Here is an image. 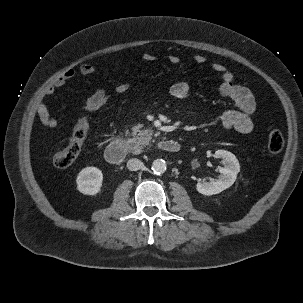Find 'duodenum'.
<instances>
[{
    "instance_id": "410a0bca",
    "label": "duodenum",
    "mask_w": 303,
    "mask_h": 303,
    "mask_svg": "<svg viewBox=\"0 0 303 303\" xmlns=\"http://www.w3.org/2000/svg\"><path fill=\"white\" fill-rule=\"evenodd\" d=\"M159 150L167 153H176L180 150L179 142L172 139L161 140ZM127 154V143L124 139H116L108 144L105 149V158L111 164H120Z\"/></svg>"
}]
</instances>
